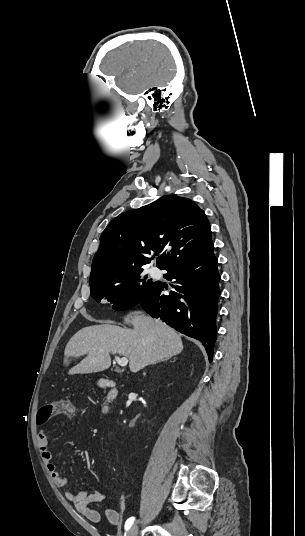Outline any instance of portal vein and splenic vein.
<instances>
[{
	"label": "portal vein and splenic vein",
	"instance_id": "1",
	"mask_svg": "<svg viewBox=\"0 0 305 536\" xmlns=\"http://www.w3.org/2000/svg\"><path fill=\"white\" fill-rule=\"evenodd\" d=\"M101 352H102V350H101ZM115 360H116L117 364H119V366H127V364H128L127 358H117V356H115Z\"/></svg>",
	"mask_w": 305,
	"mask_h": 536
}]
</instances>
